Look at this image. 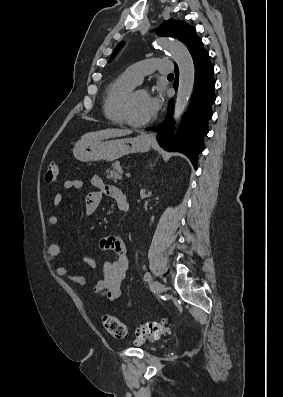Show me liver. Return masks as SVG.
Wrapping results in <instances>:
<instances>
[{
	"mask_svg": "<svg viewBox=\"0 0 283 397\" xmlns=\"http://www.w3.org/2000/svg\"><path fill=\"white\" fill-rule=\"evenodd\" d=\"M131 133H132L131 130L108 128L105 130L86 133L81 137V140H92V139L103 140V139H108V138L126 136Z\"/></svg>",
	"mask_w": 283,
	"mask_h": 397,
	"instance_id": "6515ba94",
	"label": "liver"
}]
</instances>
